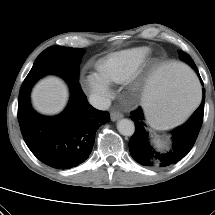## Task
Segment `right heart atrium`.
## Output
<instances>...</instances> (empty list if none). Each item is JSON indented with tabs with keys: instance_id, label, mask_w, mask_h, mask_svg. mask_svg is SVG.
<instances>
[{
	"instance_id": "d8ad5b80",
	"label": "right heart atrium",
	"mask_w": 215,
	"mask_h": 215,
	"mask_svg": "<svg viewBox=\"0 0 215 215\" xmlns=\"http://www.w3.org/2000/svg\"><path fill=\"white\" fill-rule=\"evenodd\" d=\"M83 84L98 105L105 104L112 94L110 83L96 72L88 73L83 78Z\"/></svg>"
}]
</instances>
